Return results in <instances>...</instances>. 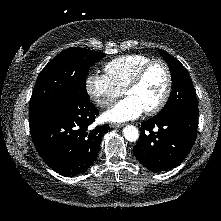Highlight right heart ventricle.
Wrapping results in <instances>:
<instances>
[{
    "label": "right heart ventricle",
    "instance_id": "e07e8e85",
    "mask_svg": "<svg viewBox=\"0 0 221 221\" xmlns=\"http://www.w3.org/2000/svg\"><path fill=\"white\" fill-rule=\"evenodd\" d=\"M150 60L142 54L122 55L106 63L104 71L114 85L124 90L136 71Z\"/></svg>",
    "mask_w": 221,
    "mask_h": 221
}]
</instances>
